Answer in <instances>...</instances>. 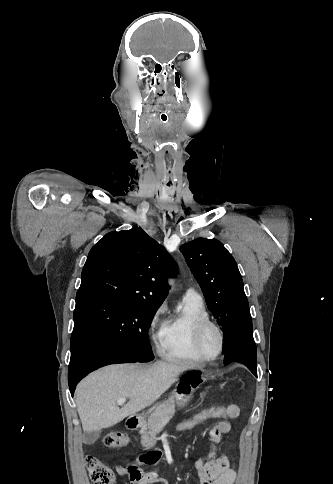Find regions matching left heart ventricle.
Wrapping results in <instances>:
<instances>
[{
	"label": "left heart ventricle",
	"instance_id": "1",
	"mask_svg": "<svg viewBox=\"0 0 333 484\" xmlns=\"http://www.w3.org/2000/svg\"><path fill=\"white\" fill-rule=\"evenodd\" d=\"M203 349L208 356H214L219 349V338L215 330L209 329L203 339Z\"/></svg>",
	"mask_w": 333,
	"mask_h": 484
}]
</instances>
